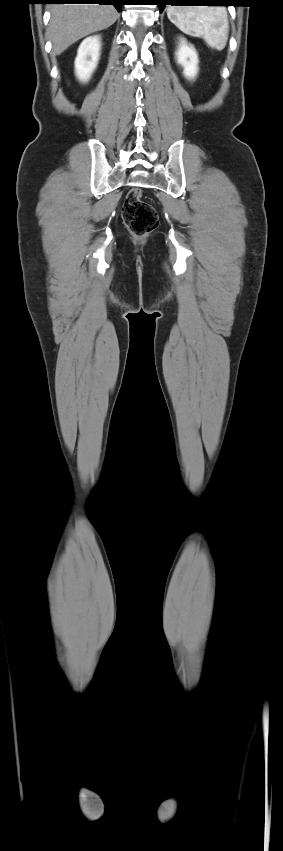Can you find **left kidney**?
<instances>
[{"label": "left kidney", "mask_w": 283, "mask_h": 851, "mask_svg": "<svg viewBox=\"0 0 283 851\" xmlns=\"http://www.w3.org/2000/svg\"><path fill=\"white\" fill-rule=\"evenodd\" d=\"M176 58L184 76L188 79H194L198 73V55L194 47L188 44L184 38H180Z\"/></svg>", "instance_id": "left-kidney-1"}]
</instances>
